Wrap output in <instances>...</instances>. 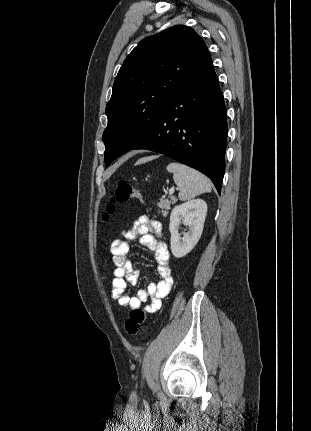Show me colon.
<instances>
[{
    "instance_id": "1",
    "label": "colon",
    "mask_w": 311,
    "mask_h": 431,
    "mask_svg": "<svg viewBox=\"0 0 311 431\" xmlns=\"http://www.w3.org/2000/svg\"><path fill=\"white\" fill-rule=\"evenodd\" d=\"M131 199L143 200L142 192L139 189L133 187L127 181L119 180L116 184L111 203L107 206V213H113L115 209V203H124ZM145 318L146 313L143 309H133L125 321L126 332L131 336L137 335L145 321Z\"/></svg>"
}]
</instances>
